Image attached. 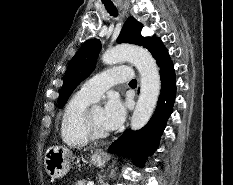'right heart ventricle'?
Here are the masks:
<instances>
[{
    "label": "right heart ventricle",
    "instance_id": "right-heart-ventricle-1",
    "mask_svg": "<svg viewBox=\"0 0 233 185\" xmlns=\"http://www.w3.org/2000/svg\"><path fill=\"white\" fill-rule=\"evenodd\" d=\"M93 102L89 97L77 92L66 104L60 121V133L63 142L69 147H83L89 138L84 130L83 116Z\"/></svg>",
    "mask_w": 233,
    "mask_h": 185
}]
</instances>
